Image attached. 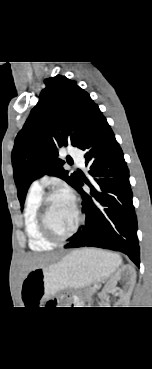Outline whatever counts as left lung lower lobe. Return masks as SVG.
I'll return each mask as SVG.
<instances>
[{
	"mask_svg": "<svg viewBox=\"0 0 152 369\" xmlns=\"http://www.w3.org/2000/svg\"><path fill=\"white\" fill-rule=\"evenodd\" d=\"M84 150L90 179L79 178L74 189L82 196L85 225L65 248L99 247L120 251L139 267L137 217L132 203L129 170L123 152L99 108L78 145ZM83 182L90 192L82 189Z\"/></svg>",
	"mask_w": 152,
	"mask_h": 369,
	"instance_id": "1",
	"label": "left lung lower lobe"
}]
</instances>
